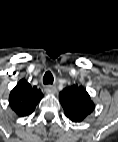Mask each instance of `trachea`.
Returning a JSON list of instances; mask_svg holds the SVG:
<instances>
[{"instance_id": "trachea-1", "label": "trachea", "mask_w": 118, "mask_h": 142, "mask_svg": "<svg viewBox=\"0 0 118 142\" xmlns=\"http://www.w3.org/2000/svg\"><path fill=\"white\" fill-rule=\"evenodd\" d=\"M54 81V77L50 71H47L43 77V83L45 85L52 84Z\"/></svg>"}]
</instances>
